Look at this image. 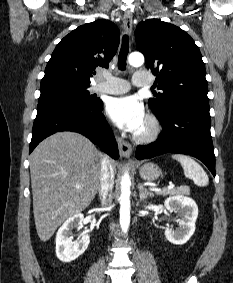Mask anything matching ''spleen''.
<instances>
[{
	"label": "spleen",
	"instance_id": "3e777b00",
	"mask_svg": "<svg viewBox=\"0 0 233 283\" xmlns=\"http://www.w3.org/2000/svg\"><path fill=\"white\" fill-rule=\"evenodd\" d=\"M180 162L184 170V175L190 178L197 186H207L209 178L203 168L192 158L183 154H175L172 156Z\"/></svg>",
	"mask_w": 233,
	"mask_h": 283
}]
</instances>
